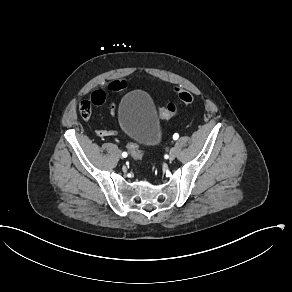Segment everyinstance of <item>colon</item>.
Masks as SVG:
<instances>
[{"label":"colon","mask_w":292,"mask_h":292,"mask_svg":"<svg viewBox=\"0 0 292 292\" xmlns=\"http://www.w3.org/2000/svg\"><path fill=\"white\" fill-rule=\"evenodd\" d=\"M178 98L184 105H190L193 102V97L185 90H178ZM106 95L103 91H97L92 100L84 99L81 101L78 107V113L82 119L88 120L92 114L93 106H100L104 103ZM178 103L175 101H169L164 106H160L158 117L160 120H168L174 117L178 113ZM127 151L134 161H140L143 157V151L140 149L136 142L127 143Z\"/></svg>","instance_id":"colon-1"}]
</instances>
